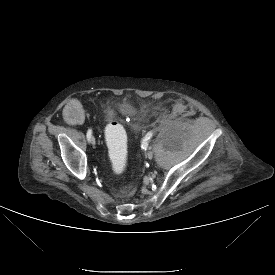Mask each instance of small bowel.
Returning <instances> with one entry per match:
<instances>
[{
  "mask_svg": "<svg viewBox=\"0 0 275 275\" xmlns=\"http://www.w3.org/2000/svg\"><path fill=\"white\" fill-rule=\"evenodd\" d=\"M84 108L85 102L83 98L73 95L68 98L65 105L60 107L58 116L65 123L80 125L84 121Z\"/></svg>",
  "mask_w": 275,
  "mask_h": 275,
  "instance_id": "c3829d8e",
  "label": "small bowel"
}]
</instances>
